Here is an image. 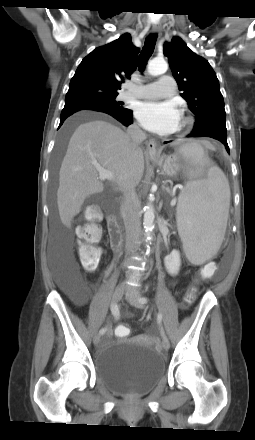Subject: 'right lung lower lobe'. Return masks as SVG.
Returning a JSON list of instances; mask_svg holds the SVG:
<instances>
[{
  "label": "right lung lower lobe",
  "mask_w": 255,
  "mask_h": 440,
  "mask_svg": "<svg viewBox=\"0 0 255 440\" xmlns=\"http://www.w3.org/2000/svg\"><path fill=\"white\" fill-rule=\"evenodd\" d=\"M81 110H93L107 113L125 126H129L132 123V111L129 109L124 108L120 110L103 103L83 100L65 103L64 109L61 112L59 126L63 124L67 117Z\"/></svg>",
  "instance_id": "1"
}]
</instances>
